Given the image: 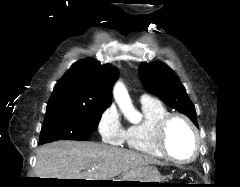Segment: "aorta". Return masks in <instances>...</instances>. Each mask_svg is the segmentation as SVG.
<instances>
[{
    "label": "aorta",
    "instance_id": "1",
    "mask_svg": "<svg viewBox=\"0 0 240 187\" xmlns=\"http://www.w3.org/2000/svg\"><path fill=\"white\" fill-rule=\"evenodd\" d=\"M114 97L121 109H123L130 118L134 119L137 113L133 110L129 96L123 84L117 83L114 87Z\"/></svg>",
    "mask_w": 240,
    "mask_h": 187
}]
</instances>
